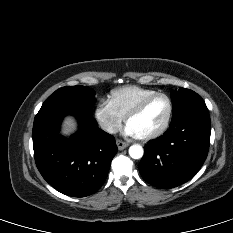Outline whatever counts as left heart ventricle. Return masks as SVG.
<instances>
[{
  "label": "left heart ventricle",
  "instance_id": "obj_1",
  "mask_svg": "<svg viewBox=\"0 0 233 233\" xmlns=\"http://www.w3.org/2000/svg\"><path fill=\"white\" fill-rule=\"evenodd\" d=\"M168 113L167 101L159 97L153 100L142 113L132 118L128 125L138 136L157 131L164 123Z\"/></svg>",
  "mask_w": 233,
  "mask_h": 233
}]
</instances>
